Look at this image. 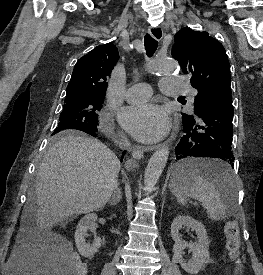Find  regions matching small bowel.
<instances>
[{"mask_svg": "<svg viewBox=\"0 0 263 275\" xmlns=\"http://www.w3.org/2000/svg\"><path fill=\"white\" fill-rule=\"evenodd\" d=\"M52 251V247H43L31 258L27 266L30 275H55L58 259Z\"/></svg>", "mask_w": 263, "mask_h": 275, "instance_id": "small-bowel-1", "label": "small bowel"}]
</instances>
